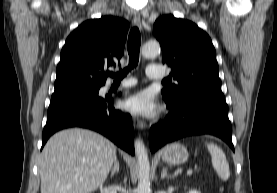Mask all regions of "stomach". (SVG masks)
Segmentation results:
<instances>
[{"instance_id":"0dacf381","label":"stomach","mask_w":277,"mask_h":193,"mask_svg":"<svg viewBox=\"0 0 277 193\" xmlns=\"http://www.w3.org/2000/svg\"><path fill=\"white\" fill-rule=\"evenodd\" d=\"M187 159L188 151L179 143L166 146L162 152V160L171 165L182 164L186 162Z\"/></svg>"}]
</instances>
